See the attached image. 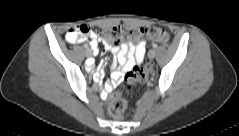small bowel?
Wrapping results in <instances>:
<instances>
[{
	"label": "small bowel",
	"mask_w": 239,
	"mask_h": 136,
	"mask_svg": "<svg viewBox=\"0 0 239 136\" xmlns=\"http://www.w3.org/2000/svg\"><path fill=\"white\" fill-rule=\"evenodd\" d=\"M92 49L98 52V40L99 37L95 33L90 34ZM68 40V38H67ZM71 42L70 40H68ZM104 49L110 51L113 54L111 68L113 74L111 79L105 83L104 89L106 93H111L119 83L120 76L123 72L131 69L136 63L140 62L145 54L146 44L144 41H138L137 43H122L110 44L108 41L103 40ZM120 65V69L116 70V64Z\"/></svg>",
	"instance_id": "small-bowel-1"
}]
</instances>
